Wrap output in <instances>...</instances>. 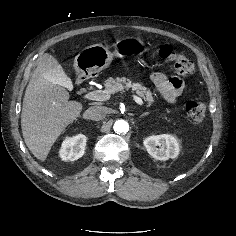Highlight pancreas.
<instances>
[{
  "instance_id": "obj_1",
  "label": "pancreas",
  "mask_w": 236,
  "mask_h": 236,
  "mask_svg": "<svg viewBox=\"0 0 236 236\" xmlns=\"http://www.w3.org/2000/svg\"><path fill=\"white\" fill-rule=\"evenodd\" d=\"M105 87V92L109 95L117 93L119 91H124V89H131L132 91H135L138 95L143 97V99L147 101L149 105L154 102L153 94L150 89L145 87L142 82L135 83L126 77L116 79L109 78L105 82Z\"/></svg>"
}]
</instances>
